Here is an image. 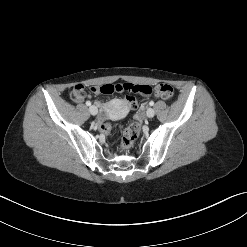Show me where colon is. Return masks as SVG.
<instances>
[{
    "mask_svg": "<svg viewBox=\"0 0 247 247\" xmlns=\"http://www.w3.org/2000/svg\"><path fill=\"white\" fill-rule=\"evenodd\" d=\"M91 91L98 94H112L114 92H136L141 94L143 97H150L154 95L155 97L161 98L163 100H171L173 98V88L171 85L166 83H161L156 86L146 85L145 83L131 84V83H116V84H104L99 86L91 87ZM86 93V88L82 84L76 85L71 95L73 96H83ZM125 108L131 109L133 111L138 110L139 101L135 97L128 95L124 101ZM140 118V115L139 117ZM141 125L137 120L130 124L123 132L121 138V146L123 149H130L140 134ZM101 130L105 133H109L112 130V126L109 123H103L101 125Z\"/></svg>",
    "mask_w": 247,
    "mask_h": 247,
    "instance_id": "5ec220e1",
    "label": "colon"
}]
</instances>
